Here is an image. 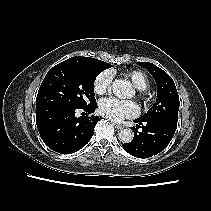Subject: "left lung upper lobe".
I'll return each mask as SVG.
<instances>
[{"label":"left lung upper lobe","instance_id":"5c2ea615","mask_svg":"<svg viewBox=\"0 0 211 211\" xmlns=\"http://www.w3.org/2000/svg\"><path fill=\"white\" fill-rule=\"evenodd\" d=\"M137 64L147 69L157 84L155 104L138 119L159 121L177 128L180 101L173 79L164 70L152 63L138 62Z\"/></svg>","mask_w":211,"mask_h":211}]
</instances>
